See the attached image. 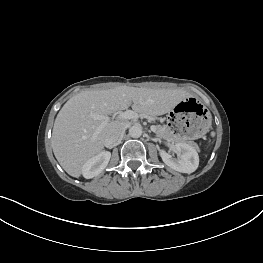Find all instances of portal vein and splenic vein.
<instances>
[{"instance_id": "portal-vein-and-splenic-vein-1", "label": "portal vein and splenic vein", "mask_w": 263, "mask_h": 263, "mask_svg": "<svg viewBox=\"0 0 263 263\" xmlns=\"http://www.w3.org/2000/svg\"><path fill=\"white\" fill-rule=\"evenodd\" d=\"M90 117L95 120H103L102 124L97 128L96 133H98L105 126V124L111 120L109 116H102L95 113L90 114ZM117 117L119 119H136L138 114L132 110H126L125 112H119ZM150 129L152 132L156 133L155 125H152Z\"/></svg>"}]
</instances>
